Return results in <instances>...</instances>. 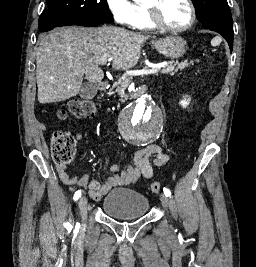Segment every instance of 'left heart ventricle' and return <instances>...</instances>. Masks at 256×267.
<instances>
[{
  "mask_svg": "<svg viewBox=\"0 0 256 267\" xmlns=\"http://www.w3.org/2000/svg\"><path fill=\"white\" fill-rule=\"evenodd\" d=\"M156 14L162 24L176 28L185 26L190 20V10L181 0L163 1L156 10ZM142 25V31H148L152 28L153 23L143 20Z\"/></svg>",
  "mask_w": 256,
  "mask_h": 267,
  "instance_id": "1",
  "label": "left heart ventricle"
}]
</instances>
